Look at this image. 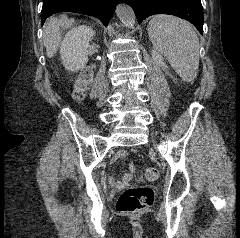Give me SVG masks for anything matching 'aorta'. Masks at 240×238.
I'll list each match as a JSON object with an SVG mask.
<instances>
[{
	"mask_svg": "<svg viewBox=\"0 0 240 238\" xmlns=\"http://www.w3.org/2000/svg\"><path fill=\"white\" fill-rule=\"evenodd\" d=\"M116 14L120 21L126 27H133L135 24V13L131 7L125 4H119L116 7Z\"/></svg>",
	"mask_w": 240,
	"mask_h": 238,
	"instance_id": "1",
	"label": "aorta"
}]
</instances>
